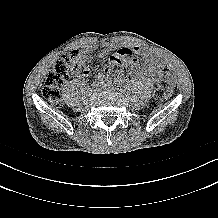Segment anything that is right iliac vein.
Masks as SVG:
<instances>
[{"label":"right iliac vein","instance_id":"right-iliac-vein-1","mask_svg":"<svg viewBox=\"0 0 218 218\" xmlns=\"http://www.w3.org/2000/svg\"><path fill=\"white\" fill-rule=\"evenodd\" d=\"M101 83L93 84V91L97 92L101 89Z\"/></svg>","mask_w":218,"mask_h":218}]
</instances>
